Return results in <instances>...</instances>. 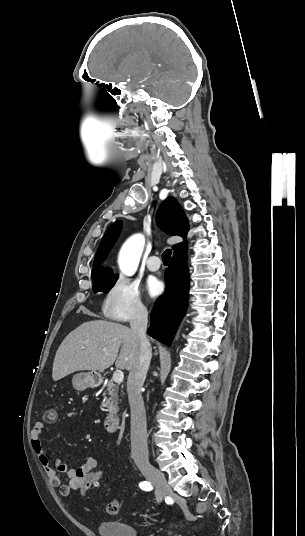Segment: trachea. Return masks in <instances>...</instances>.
<instances>
[{
    "label": "trachea",
    "instance_id": "trachea-1",
    "mask_svg": "<svg viewBox=\"0 0 305 536\" xmlns=\"http://www.w3.org/2000/svg\"><path fill=\"white\" fill-rule=\"evenodd\" d=\"M172 250L167 249L162 253V261L163 263H168L171 258Z\"/></svg>",
    "mask_w": 305,
    "mask_h": 536
}]
</instances>
